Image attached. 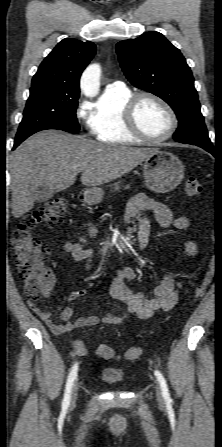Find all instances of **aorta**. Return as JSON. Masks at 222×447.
<instances>
[{"instance_id": "obj_1", "label": "aorta", "mask_w": 222, "mask_h": 447, "mask_svg": "<svg viewBox=\"0 0 222 447\" xmlns=\"http://www.w3.org/2000/svg\"><path fill=\"white\" fill-rule=\"evenodd\" d=\"M100 66L92 64L86 68L81 78V89L87 96H94L99 88Z\"/></svg>"}]
</instances>
